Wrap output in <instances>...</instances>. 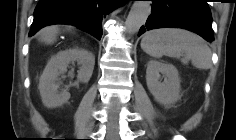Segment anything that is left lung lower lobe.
I'll return each instance as SVG.
<instances>
[{"instance_id":"0a47b994","label":"left lung lower lobe","mask_w":236,"mask_h":140,"mask_svg":"<svg viewBox=\"0 0 236 140\" xmlns=\"http://www.w3.org/2000/svg\"><path fill=\"white\" fill-rule=\"evenodd\" d=\"M152 2L151 15L138 35L155 28L171 27L193 31L209 42L214 40L212 17L207 0H152Z\"/></svg>"}]
</instances>
